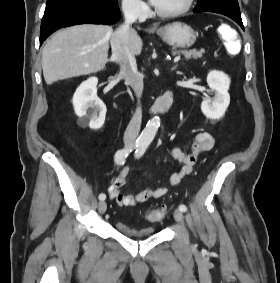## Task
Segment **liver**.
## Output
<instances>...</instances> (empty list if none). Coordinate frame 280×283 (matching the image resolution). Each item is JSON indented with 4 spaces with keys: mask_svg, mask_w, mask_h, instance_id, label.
<instances>
[{
    "mask_svg": "<svg viewBox=\"0 0 280 283\" xmlns=\"http://www.w3.org/2000/svg\"><path fill=\"white\" fill-rule=\"evenodd\" d=\"M114 32L106 25H76L52 36L42 52V69L46 83H52L102 70L108 59L109 42ZM130 48L134 55L142 51V39L131 29Z\"/></svg>",
    "mask_w": 280,
    "mask_h": 283,
    "instance_id": "6515ba94",
    "label": "liver"
}]
</instances>
